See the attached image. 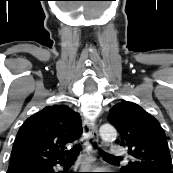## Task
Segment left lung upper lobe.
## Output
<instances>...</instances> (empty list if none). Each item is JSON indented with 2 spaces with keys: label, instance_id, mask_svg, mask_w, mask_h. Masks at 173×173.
Masks as SVG:
<instances>
[{
  "label": "left lung upper lobe",
  "instance_id": "1",
  "mask_svg": "<svg viewBox=\"0 0 173 173\" xmlns=\"http://www.w3.org/2000/svg\"><path fill=\"white\" fill-rule=\"evenodd\" d=\"M108 120L132 157L120 173H173L165 132L152 115L133 102L123 101L113 106Z\"/></svg>",
  "mask_w": 173,
  "mask_h": 173
}]
</instances>
